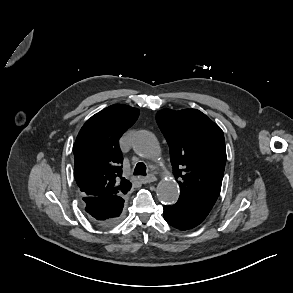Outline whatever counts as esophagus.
I'll return each mask as SVG.
<instances>
[{
	"label": "esophagus",
	"instance_id": "34e87169",
	"mask_svg": "<svg viewBox=\"0 0 293 293\" xmlns=\"http://www.w3.org/2000/svg\"><path fill=\"white\" fill-rule=\"evenodd\" d=\"M140 180L143 184H148V183L156 181V177L150 174L147 177H142Z\"/></svg>",
	"mask_w": 293,
	"mask_h": 293
}]
</instances>
